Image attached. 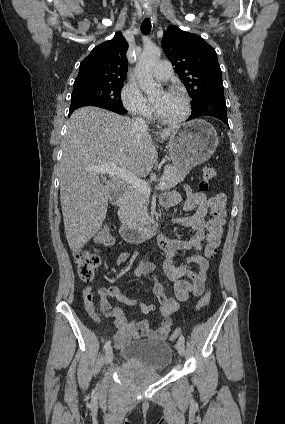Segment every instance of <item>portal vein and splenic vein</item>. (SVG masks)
I'll use <instances>...</instances> for the list:
<instances>
[{
	"instance_id": "obj_1",
	"label": "portal vein and splenic vein",
	"mask_w": 285,
	"mask_h": 424,
	"mask_svg": "<svg viewBox=\"0 0 285 424\" xmlns=\"http://www.w3.org/2000/svg\"><path fill=\"white\" fill-rule=\"evenodd\" d=\"M96 173L100 174H109L110 176L117 177L119 179L124 180L126 183L131 185L133 188L150 195L151 188L148 185V183L137 176H135L133 173L128 172L126 169L118 167L115 163L102 165L99 167H95L92 169ZM164 182H160L156 189L160 190L164 188Z\"/></svg>"
}]
</instances>
